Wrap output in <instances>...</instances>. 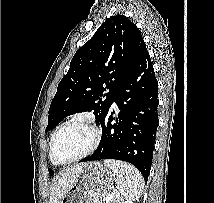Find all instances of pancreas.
<instances>
[{
	"instance_id": "pancreas-1",
	"label": "pancreas",
	"mask_w": 214,
	"mask_h": 203,
	"mask_svg": "<svg viewBox=\"0 0 214 203\" xmlns=\"http://www.w3.org/2000/svg\"><path fill=\"white\" fill-rule=\"evenodd\" d=\"M102 203H116V202L115 200H106V198H104Z\"/></svg>"
}]
</instances>
